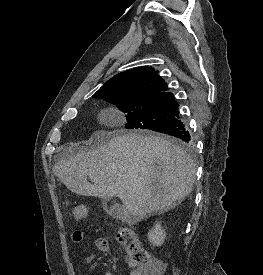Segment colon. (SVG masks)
I'll list each match as a JSON object with an SVG mask.
<instances>
[{
	"label": "colon",
	"mask_w": 263,
	"mask_h": 275,
	"mask_svg": "<svg viewBox=\"0 0 263 275\" xmlns=\"http://www.w3.org/2000/svg\"><path fill=\"white\" fill-rule=\"evenodd\" d=\"M87 210L84 206H75L72 209V216L79 221L85 218ZM118 242L127 250L129 261L142 275H158L161 265L150 259L148 253L140 247L135 233L132 229L121 227L116 232Z\"/></svg>",
	"instance_id": "obj_1"
}]
</instances>
